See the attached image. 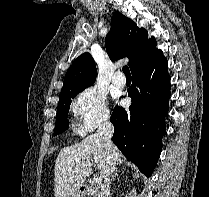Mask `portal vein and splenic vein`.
<instances>
[{
	"mask_svg": "<svg viewBox=\"0 0 209 197\" xmlns=\"http://www.w3.org/2000/svg\"><path fill=\"white\" fill-rule=\"evenodd\" d=\"M93 181L97 184L101 183L102 181V178L98 175H95L94 178H93Z\"/></svg>",
	"mask_w": 209,
	"mask_h": 197,
	"instance_id": "1",
	"label": "portal vein and splenic vein"
}]
</instances>
